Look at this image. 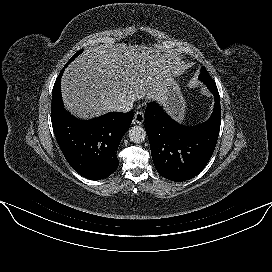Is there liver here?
Wrapping results in <instances>:
<instances>
[{
  "instance_id": "liver-1",
  "label": "liver",
  "mask_w": 272,
  "mask_h": 272,
  "mask_svg": "<svg viewBox=\"0 0 272 272\" xmlns=\"http://www.w3.org/2000/svg\"><path fill=\"white\" fill-rule=\"evenodd\" d=\"M170 54L159 48L110 44L92 47L78 56L61 80L65 107L90 119L113 111L122 100H156L165 104L172 77Z\"/></svg>"
}]
</instances>
